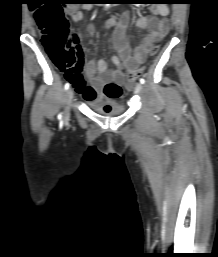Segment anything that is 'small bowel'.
Returning <instances> with one entry per match:
<instances>
[{"instance_id":"1","label":"small bowel","mask_w":218,"mask_h":257,"mask_svg":"<svg viewBox=\"0 0 218 257\" xmlns=\"http://www.w3.org/2000/svg\"><path fill=\"white\" fill-rule=\"evenodd\" d=\"M82 9L89 10L90 6H83ZM69 18L74 22L83 19L81 9L68 7L66 10ZM169 9L166 5H157L152 9L151 16H136L133 10H128L119 19L111 18L107 22V27H115L111 50L118 53L112 56L115 69H110L107 63L100 60H89L85 65V72L79 79L69 78L75 91L85 100H94L102 96V83L116 82L120 85L124 82V77L137 69L142 64L147 55L151 53L155 43L164 38L169 29ZM134 20L135 25L145 32L139 45L131 51L126 39V30ZM88 35L95 37L96 31L93 24L87 28ZM88 82V83H87Z\"/></svg>"}]
</instances>
